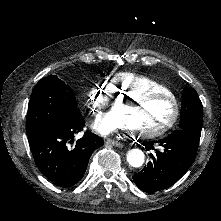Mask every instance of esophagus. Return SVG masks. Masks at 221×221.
<instances>
[{"instance_id": "esophagus-1", "label": "esophagus", "mask_w": 221, "mask_h": 221, "mask_svg": "<svg viewBox=\"0 0 221 221\" xmlns=\"http://www.w3.org/2000/svg\"><path fill=\"white\" fill-rule=\"evenodd\" d=\"M106 143L108 145H112V146H115V147H123L124 146L123 142H120V141H117V140H114V139H107Z\"/></svg>"}]
</instances>
